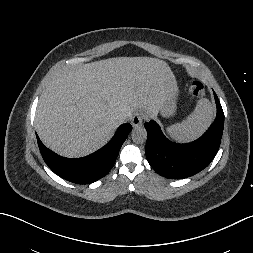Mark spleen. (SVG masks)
Returning a JSON list of instances; mask_svg holds the SVG:
<instances>
[{"instance_id": "spleen-1", "label": "spleen", "mask_w": 253, "mask_h": 253, "mask_svg": "<svg viewBox=\"0 0 253 253\" xmlns=\"http://www.w3.org/2000/svg\"><path fill=\"white\" fill-rule=\"evenodd\" d=\"M214 110L208 99H200L194 111L181 123L167 128V134L176 142L186 143L200 137L211 125Z\"/></svg>"}]
</instances>
